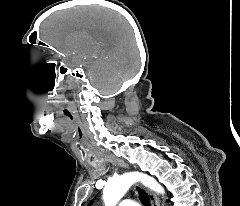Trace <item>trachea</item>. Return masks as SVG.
<instances>
[{
	"mask_svg": "<svg viewBox=\"0 0 240 206\" xmlns=\"http://www.w3.org/2000/svg\"><path fill=\"white\" fill-rule=\"evenodd\" d=\"M137 190L139 191V196L141 201L146 205V206H150V201H149V197L146 194V192L141 189L140 187H137Z\"/></svg>",
	"mask_w": 240,
	"mask_h": 206,
	"instance_id": "1",
	"label": "trachea"
}]
</instances>
